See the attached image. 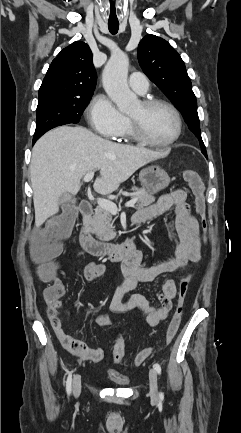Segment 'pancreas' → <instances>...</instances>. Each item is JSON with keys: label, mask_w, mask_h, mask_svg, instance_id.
<instances>
[{"label": "pancreas", "mask_w": 241, "mask_h": 433, "mask_svg": "<svg viewBox=\"0 0 241 433\" xmlns=\"http://www.w3.org/2000/svg\"><path fill=\"white\" fill-rule=\"evenodd\" d=\"M134 191L133 198H138V208H144L155 202V197L145 189H132ZM112 214L98 206L95 209L93 219L90 225L91 233L103 241H110L116 238L114 231Z\"/></svg>", "instance_id": "cf45deb5"}]
</instances>
